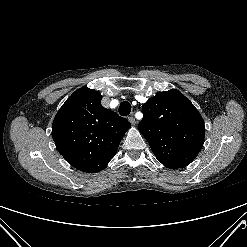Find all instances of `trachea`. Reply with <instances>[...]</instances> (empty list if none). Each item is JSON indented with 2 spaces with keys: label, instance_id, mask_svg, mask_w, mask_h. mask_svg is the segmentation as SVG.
<instances>
[{
  "label": "trachea",
  "instance_id": "obj_1",
  "mask_svg": "<svg viewBox=\"0 0 247 247\" xmlns=\"http://www.w3.org/2000/svg\"><path fill=\"white\" fill-rule=\"evenodd\" d=\"M131 112V105L129 102L124 101L119 106V114L121 116H128Z\"/></svg>",
  "mask_w": 247,
  "mask_h": 247
}]
</instances>
